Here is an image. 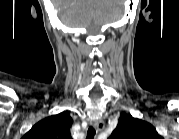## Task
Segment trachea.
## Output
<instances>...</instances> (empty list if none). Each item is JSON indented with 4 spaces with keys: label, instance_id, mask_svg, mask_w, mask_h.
<instances>
[{
    "label": "trachea",
    "instance_id": "3493384b",
    "mask_svg": "<svg viewBox=\"0 0 179 139\" xmlns=\"http://www.w3.org/2000/svg\"><path fill=\"white\" fill-rule=\"evenodd\" d=\"M96 134V131L93 127H90L87 132V139H93Z\"/></svg>",
    "mask_w": 179,
    "mask_h": 139
}]
</instances>
